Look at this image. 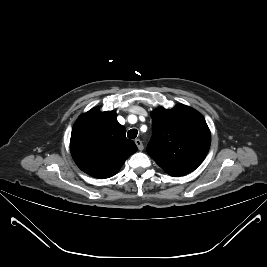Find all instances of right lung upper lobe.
Returning <instances> with one entry per match:
<instances>
[{"mask_svg": "<svg viewBox=\"0 0 267 267\" xmlns=\"http://www.w3.org/2000/svg\"><path fill=\"white\" fill-rule=\"evenodd\" d=\"M72 157L85 173L96 178L115 175L125 160L137 151L114 111L93 108L75 122L70 141Z\"/></svg>", "mask_w": 267, "mask_h": 267, "instance_id": "cb5924a9", "label": "right lung upper lobe"}]
</instances>
